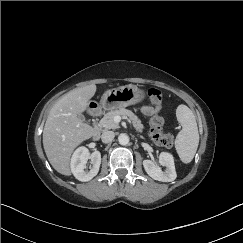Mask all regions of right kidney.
<instances>
[{"label":"right kidney","instance_id":"1","mask_svg":"<svg viewBox=\"0 0 243 243\" xmlns=\"http://www.w3.org/2000/svg\"><path fill=\"white\" fill-rule=\"evenodd\" d=\"M88 159H91L92 168L89 171H85ZM100 164L101 153L99 151L90 153L88 148L82 146L77 148L73 153L70 165L75 178L79 181L86 182L98 174Z\"/></svg>","mask_w":243,"mask_h":243}]
</instances>
